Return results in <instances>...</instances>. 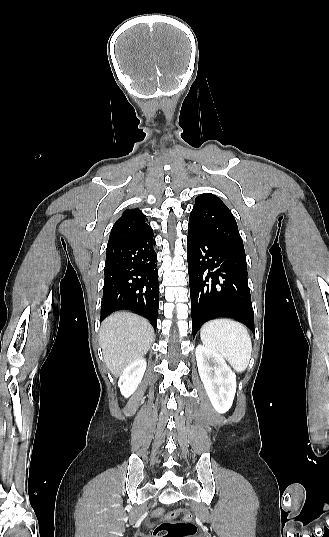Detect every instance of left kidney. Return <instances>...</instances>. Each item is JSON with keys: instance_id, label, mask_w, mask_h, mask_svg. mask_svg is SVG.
Listing matches in <instances>:
<instances>
[{"instance_id": "obj_1", "label": "left kidney", "mask_w": 329, "mask_h": 537, "mask_svg": "<svg viewBox=\"0 0 329 537\" xmlns=\"http://www.w3.org/2000/svg\"><path fill=\"white\" fill-rule=\"evenodd\" d=\"M195 355L201 381L213 408L220 414L227 412L236 393L235 373L221 355L204 345L196 347Z\"/></svg>"}]
</instances>
